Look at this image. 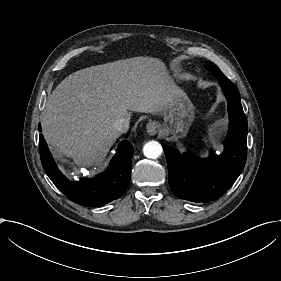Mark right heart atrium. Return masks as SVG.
Masks as SVG:
<instances>
[{"mask_svg": "<svg viewBox=\"0 0 281 281\" xmlns=\"http://www.w3.org/2000/svg\"><path fill=\"white\" fill-rule=\"evenodd\" d=\"M111 118L113 120L127 118V113L121 105H116L111 113Z\"/></svg>", "mask_w": 281, "mask_h": 281, "instance_id": "1", "label": "right heart atrium"}]
</instances>
